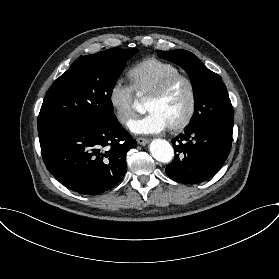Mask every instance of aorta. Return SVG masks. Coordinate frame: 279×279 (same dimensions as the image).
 Listing matches in <instances>:
<instances>
[{"instance_id":"762f6f07","label":"aorta","mask_w":279,"mask_h":279,"mask_svg":"<svg viewBox=\"0 0 279 279\" xmlns=\"http://www.w3.org/2000/svg\"><path fill=\"white\" fill-rule=\"evenodd\" d=\"M149 149L152 156L162 163H169L174 157L173 147L168 141L163 139H154Z\"/></svg>"}]
</instances>
